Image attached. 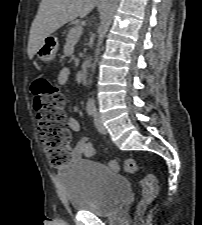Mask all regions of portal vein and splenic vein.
<instances>
[{
  "label": "portal vein and splenic vein",
  "mask_w": 202,
  "mask_h": 225,
  "mask_svg": "<svg viewBox=\"0 0 202 225\" xmlns=\"http://www.w3.org/2000/svg\"><path fill=\"white\" fill-rule=\"evenodd\" d=\"M82 31L83 27L81 25H76L73 27L67 35V43H76L80 38Z\"/></svg>",
  "instance_id": "18ae733b"
}]
</instances>
